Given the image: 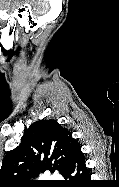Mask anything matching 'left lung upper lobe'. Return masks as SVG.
Listing matches in <instances>:
<instances>
[{"label":"left lung upper lobe","instance_id":"left-lung-upper-lobe-1","mask_svg":"<svg viewBox=\"0 0 119 187\" xmlns=\"http://www.w3.org/2000/svg\"><path fill=\"white\" fill-rule=\"evenodd\" d=\"M78 142L56 120H39L25 132L21 143L8 152L0 169V187L30 186L31 176L49 170L63 175Z\"/></svg>","mask_w":119,"mask_h":187}]
</instances>
